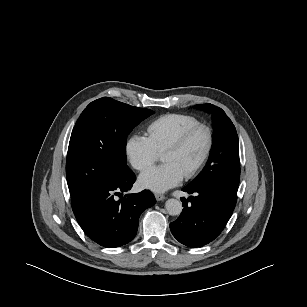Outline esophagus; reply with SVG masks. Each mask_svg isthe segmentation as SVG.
Masks as SVG:
<instances>
[{
  "label": "esophagus",
  "instance_id": "esophagus-1",
  "mask_svg": "<svg viewBox=\"0 0 307 307\" xmlns=\"http://www.w3.org/2000/svg\"><path fill=\"white\" fill-rule=\"evenodd\" d=\"M154 195L157 201H162L165 199V195L163 194L155 193Z\"/></svg>",
  "mask_w": 307,
  "mask_h": 307
}]
</instances>
